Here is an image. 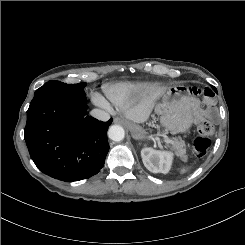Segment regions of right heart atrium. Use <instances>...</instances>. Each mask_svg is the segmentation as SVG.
Instances as JSON below:
<instances>
[{
    "label": "right heart atrium",
    "instance_id": "obj_1",
    "mask_svg": "<svg viewBox=\"0 0 245 245\" xmlns=\"http://www.w3.org/2000/svg\"><path fill=\"white\" fill-rule=\"evenodd\" d=\"M94 100H95V102H96L99 106H101V107H103V108H106V109L109 108V104H108L102 97H100V96H95Z\"/></svg>",
    "mask_w": 245,
    "mask_h": 245
}]
</instances>
